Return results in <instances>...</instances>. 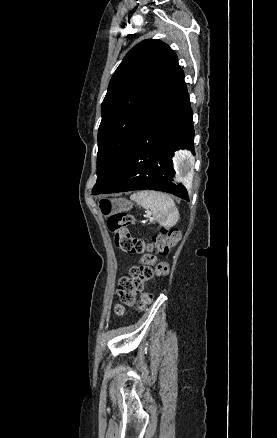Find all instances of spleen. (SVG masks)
Wrapping results in <instances>:
<instances>
[{
  "mask_svg": "<svg viewBox=\"0 0 277 438\" xmlns=\"http://www.w3.org/2000/svg\"><path fill=\"white\" fill-rule=\"evenodd\" d=\"M130 200L137 202L139 206L152 212L155 220L161 226H175L179 220V212L170 196L161 194V192H153V190H142L132 194Z\"/></svg>",
  "mask_w": 277,
  "mask_h": 438,
  "instance_id": "spleen-1",
  "label": "spleen"
}]
</instances>
